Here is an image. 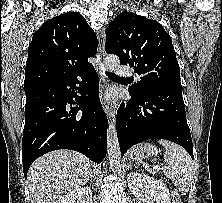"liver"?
Returning a JSON list of instances; mask_svg holds the SVG:
<instances>
[{
  "instance_id": "6515ba94",
  "label": "liver",
  "mask_w": 222,
  "mask_h": 203,
  "mask_svg": "<svg viewBox=\"0 0 222 203\" xmlns=\"http://www.w3.org/2000/svg\"><path fill=\"white\" fill-rule=\"evenodd\" d=\"M91 173L90 160L78 152L55 150L43 155L27 174L32 203H61L84 186Z\"/></svg>"
}]
</instances>
